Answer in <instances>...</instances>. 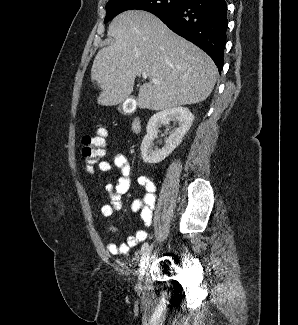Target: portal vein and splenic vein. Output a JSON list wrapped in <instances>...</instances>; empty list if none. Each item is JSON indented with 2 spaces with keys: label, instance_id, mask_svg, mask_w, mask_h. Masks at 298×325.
Returning <instances> with one entry per match:
<instances>
[{
  "label": "portal vein and splenic vein",
  "instance_id": "obj_1",
  "mask_svg": "<svg viewBox=\"0 0 298 325\" xmlns=\"http://www.w3.org/2000/svg\"><path fill=\"white\" fill-rule=\"evenodd\" d=\"M142 76L143 78H147L146 72H143ZM151 82H160V80H158V78H151Z\"/></svg>",
  "mask_w": 298,
  "mask_h": 325
}]
</instances>
